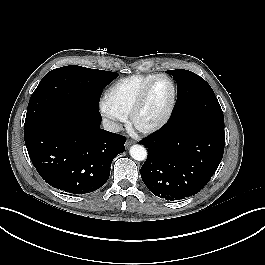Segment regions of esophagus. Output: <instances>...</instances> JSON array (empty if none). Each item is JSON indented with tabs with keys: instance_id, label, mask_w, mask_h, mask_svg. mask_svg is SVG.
Instances as JSON below:
<instances>
[{
	"instance_id": "34e87169",
	"label": "esophagus",
	"mask_w": 265,
	"mask_h": 265,
	"mask_svg": "<svg viewBox=\"0 0 265 265\" xmlns=\"http://www.w3.org/2000/svg\"><path fill=\"white\" fill-rule=\"evenodd\" d=\"M132 143H133L132 140H128V141L125 143V146L128 147V146H130Z\"/></svg>"
}]
</instances>
